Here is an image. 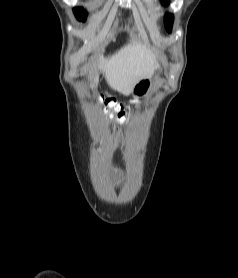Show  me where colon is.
Returning <instances> with one entry per match:
<instances>
[{"label":"colon","instance_id":"5ec220e1","mask_svg":"<svg viewBox=\"0 0 238 278\" xmlns=\"http://www.w3.org/2000/svg\"><path fill=\"white\" fill-rule=\"evenodd\" d=\"M100 103L102 104V110L105 113L103 121L113 131L120 130L124 125L123 112L120 105L111 98L101 97ZM120 136L124 135L123 131L119 132ZM107 145V142H104Z\"/></svg>","mask_w":238,"mask_h":278}]
</instances>
